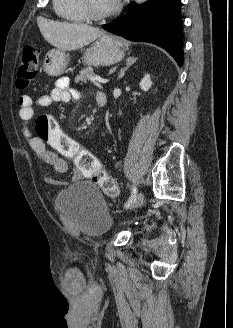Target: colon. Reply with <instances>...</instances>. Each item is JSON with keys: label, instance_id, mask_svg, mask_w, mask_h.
I'll return each instance as SVG.
<instances>
[{"label": "colon", "instance_id": "obj_1", "mask_svg": "<svg viewBox=\"0 0 233 328\" xmlns=\"http://www.w3.org/2000/svg\"><path fill=\"white\" fill-rule=\"evenodd\" d=\"M38 56L31 46H25L22 51L17 71L16 86L23 90L34 80L37 74ZM38 138L48 144L57 153L74 162L78 170L100 186L109 197H116L119 188L115 180L104 170L100 161L88 150L65 134L57 122L48 115H41L36 121Z\"/></svg>", "mask_w": 233, "mask_h": 328}]
</instances>
